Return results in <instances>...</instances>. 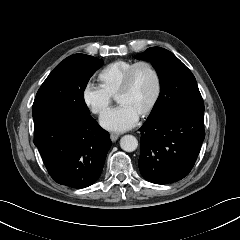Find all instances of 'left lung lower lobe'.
<instances>
[{
  "instance_id": "0a47b994",
  "label": "left lung lower lobe",
  "mask_w": 240,
  "mask_h": 240,
  "mask_svg": "<svg viewBox=\"0 0 240 240\" xmlns=\"http://www.w3.org/2000/svg\"><path fill=\"white\" fill-rule=\"evenodd\" d=\"M204 111L174 110L139 129L142 176L155 184L183 179L193 168L205 137Z\"/></svg>"
}]
</instances>
